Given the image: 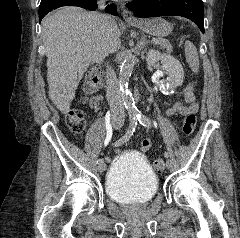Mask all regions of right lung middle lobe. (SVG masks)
<instances>
[{"instance_id":"obj_1","label":"right lung middle lobe","mask_w":240,"mask_h":238,"mask_svg":"<svg viewBox=\"0 0 240 238\" xmlns=\"http://www.w3.org/2000/svg\"><path fill=\"white\" fill-rule=\"evenodd\" d=\"M55 1L56 0H41L40 6H39V12H42L45 9H47V7Z\"/></svg>"}]
</instances>
